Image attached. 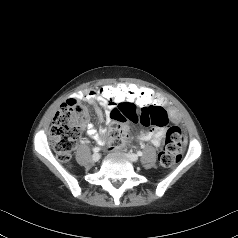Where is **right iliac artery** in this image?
<instances>
[{"label": "right iliac artery", "instance_id": "1", "mask_svg": "<svg viewBox=\"0 0 238 238\" xmlns=\"http://www.w3.org/2000/svg\"><path fill=\"white\" fill-rule=\"evenodd\" d=\"M99 151H100V148H99V147L93 148V152H94V153H97V152H99Z\"/></svg>", "mask_w": 238, "mask_h": 238}]
</instances>
